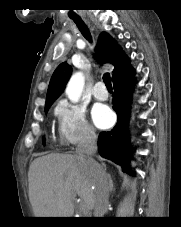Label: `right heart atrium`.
Returning <instances> with one entry per match:
<instances>
[{
  "mask_svg": "<svg viewBox=\"0 0 181 227\" xmlns=\"http://www.w3.org/2000/svg\"><path fill=\"white\" fill-rule=\"evenodd\" d=\"M60 140L67 145H78L96 139L93 127L86 118L83 107L60 100L55 108Z\"/></svg>",
  "mask_w": 181,
  "mask_h": 227,
  "instance_id": "d8ad5b80",
  "label": "right heart atrium"
}]
</instances>
